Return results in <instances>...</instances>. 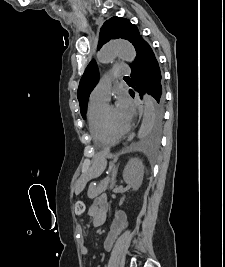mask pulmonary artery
Listing matches in <instances>:
<instances>
[{
  "instance_id": "obj_1",
  "label": "pulmonary artery",
  "mask_w": 225,
  "mask_h": 267,
  "mask_svg": "<svg viewBox=\"0 0 225 267\" xmlns=\"http://www.w3.org/2000/svg\"><path fill=\"white\" fill-rule=\"evenodd\" d=\"M130 73L126 64H116L112 69L102 75L98 84L91 92L90 99L96 101L107 102L109 99L110 88L113 80L122 75Z\"/></svg>"
}]
</instances>
